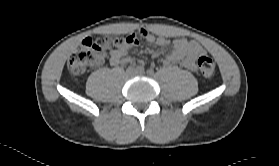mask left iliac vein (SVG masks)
<instances>
[{
  "label": "left iliac vein",
  "mask_w": 279,
  "mask_h": 166,
  "mask_svg": "<svg viewBox=\"0 0 279 166\" xmlns=\"http://www.w3.org/2000/svg\"><path fill=\"white\" fill-rule=\"evenodd\" d=\"M139 74H143V72H139Z\"/></svg>",
  "instance_id": "obj_1"
}]
</instances>
